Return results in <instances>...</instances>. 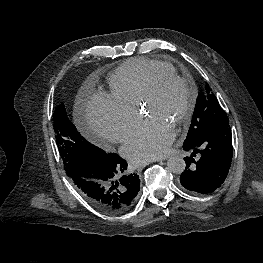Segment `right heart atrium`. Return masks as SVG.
I'll return each mask as SVG.
<instances>
[{"label": "right heart atrium", "instance_id": "1", "mask_svg": "<svg viewBox=\"0 0 263 263\" xmlns=\"http://www.w3.org/2000/svg\"><path fill=\"white\" fill-rule=\"evenodd\" d=\"M138 120L137 109L119 102L109 93L94 95L85 109V123L102 145L123 142Z\"/></svg>", "mask_w": 263, "mask_h": 263}]
</instances>
